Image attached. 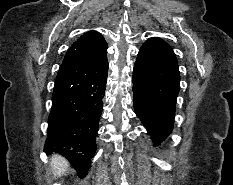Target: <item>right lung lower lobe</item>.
I'll return each mask as SVG.
<instances>
[{
	"mask_svg": "<svg viewBox=\"0 0 233 185\" xmlns=\"http://www.w3.org/2000/svg\"><path fill=\"white\" fill-rule=\"evenodd\" d=\"M107 72V58L97 64H62L55 81L45 150L65 156L80 177L96 151Z\"/></svg>",
	"mask_w": 233,
	"mask_h": 185,
	"instance_id": "right-lung-lower-lobe-1",
	"label": "right lung lower lobe"
}]
</instances>
